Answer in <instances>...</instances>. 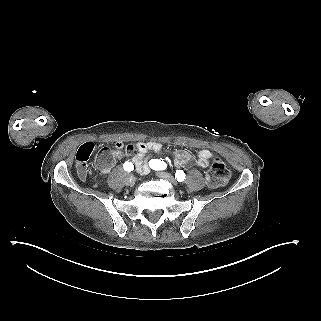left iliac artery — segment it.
Wrapping results in <instances>:
<instances>
[{
    "label": "left iliac artery",
    "mask_w": 321,
    "mask_h": 321,
    "mask_svg": "<svg viewBox=\"0 0 321 321\" xmlns=\"http://www.w3.org/2000/svg\"><path fill=\"white\" fill-rule=\"evenodd\" d=\"M149 165L152 169L154 170H163L166 168V164L161 161V160H158V159H154V160H151L149 162ZM185 173L182 171V170H177L176 173H175V178L177 179V181L179 182H182L184 181L185 179Z\"/></svg>",
    "instance_id": "44dca946"
}]
</instances>
